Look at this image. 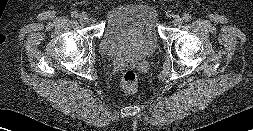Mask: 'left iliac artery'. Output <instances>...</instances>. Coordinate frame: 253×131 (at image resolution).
<instances>
[{"instance_id":"1","label":"left iliac artery","mask_w":253,"mask_h":131,"mask_svg":"<svg viewBox=\"0 0 253 131\" xmlns=\"http://www.w3.org/2000/svg\"><path fill=\"white\" fill-rule=\"evenodd\" d=\"M191 19H192V16L190 14H185L182 17V20L185 21V22H189Z\"/></svg>"}]
</instances>
